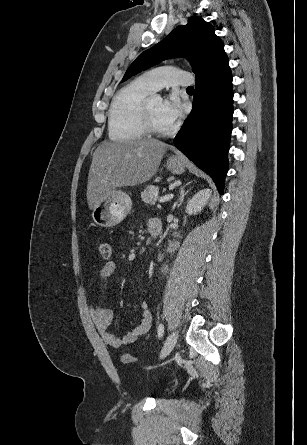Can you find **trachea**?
I'll return each mask as SVG.
<instances>
[{"mask_svg": "<svg viewBox=\"0 0 307 445\" xmlns=\"http://www.w3.org/2000/svg\"><path fill=\"white\" fill-rule=\"evenodd\" d=\"M187 90H194L193 87H188Z\"/></svg>", "mask_w": 307, "mask_h": 445, "instance_id": "trachea-1", "label": "trachea"}]
</instances>
